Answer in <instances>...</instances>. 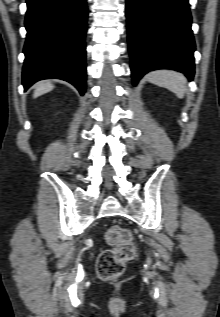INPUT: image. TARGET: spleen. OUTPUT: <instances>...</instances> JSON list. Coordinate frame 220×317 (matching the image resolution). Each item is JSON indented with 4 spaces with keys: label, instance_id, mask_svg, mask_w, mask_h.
Here are the masks:
<instances>
[{
    "label": "spleen",
    "instance_id": "1",
    "mask_svg": "<svg viewBox=\"0 0 220 317\" xmlns=\"http://www.w3.org/2000/svg\"><path fill=\"white\" fill-rule=\"evenodd\" d=\"M149 82L165 87L175 93L178 97H183L186 91V78L183 74L168 69L155 70L147 74Z\"/></svg>",
    "mask_w": 220,
    "mask_h": 317
}]
</instances>
